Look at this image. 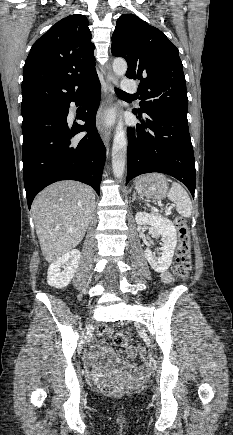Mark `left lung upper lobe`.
Masks as SVG:
<instances>
[{
	"label": "left lung upper lobe",
	"mask_w": 233,
	"mask_h": 435,
	"mask_svg": "<svg viewBox=\"0 0 233 435\" xmlns=\"http://www.w3.org/2000/svg\"><path fill=\"white\" fill-rule=\"evenodd\" d=\"M111 52L128 64L126 77L138 79L142 113L187 117L188 98L178 48L159 29L123 14L112 34Z\"/></svg>",
	"instance_id": "5c2ea615"
}]
</instances>
